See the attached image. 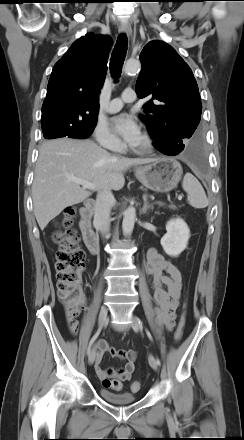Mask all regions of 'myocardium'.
I'll return each instance as SVG.
<instances>
[{
  "mask_svg": "<svg viewBox=\"0 0 244 440\" xmlns=\"http://www.w3.org/2000/svg\"><path fill=\"white\" fill-rule=\"evenodd\" d=\"M154 146V140L151 134L144 131L141 134V142L137 146H133L131 149L137 153H146L152 150Z\"/></svg>",
  "mask_w": 244,
  "mask_h": 440,
  "instance_id": "myocardium-1",
  "label": "myocardium"
}]
</instances>
